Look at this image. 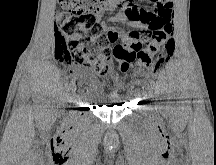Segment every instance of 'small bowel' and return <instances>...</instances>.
Returning a JSON list of instances; mask_svg holds the SVG:
<instances>
[{
    "label": "small bowel",
    "instance_id": "c3829d8e",
    "mask_svg": "<svg viewBox=\"0 0 216 165\" xmlns=\"http://www.w3.org/2000/svg\"><path fill=\"white\" fill-rule=\"evenodd\" d=\"M120 6V10L107 20H103L100 17V23L105 30V33L109 39L110 44L115 43L119 38L124 40L129 39V33L123 34L116 30L113 27H110L108 24L122 22L126 23L128 26L132 27L133 30H143L148 26L146 20L134 19L130 17L129 13H154L158 10H172V0H147L146 5H138V2H126V0H115L114 3L110 6ZM129 67L121 70L125 73ZM87 78L90 83V88L93 94H101V87L99 83L90 75H87Z\"/></svg>",
    "mask_w": 216,
    "mask_h": 165
}]
</instances>
